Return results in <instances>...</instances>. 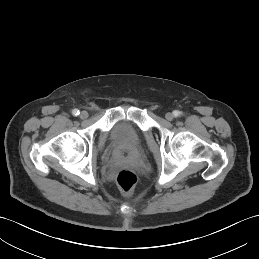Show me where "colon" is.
<instances>
[{"label":"colon","instance_id":"obj_1","mask_svg":"<svg viewBox=\"0 0 259 259\" xmlns=\"http://www.w3.org/2000/svg\"><path fill=\"white\" fill-rule=\"evenodd\" d=\"M116 181L119 189L124 194L130 195L136 186L137 177L132 171L123 169L118 173Z\"/></svg>","mask_w":259,"mask_h":259}]
</instances>
